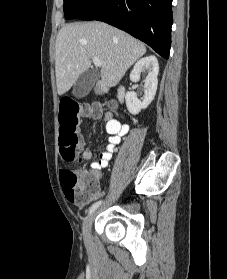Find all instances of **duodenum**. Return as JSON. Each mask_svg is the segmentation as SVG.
Returning a JSON list of instances; mask_svg holds the SVG:
<instances>
[{
  "mask_svg": "<svg viewBox=\"0 0 227 279\" xmlns=\"http://www.w3.org/2000/svg\"><path fill=\"white\" fill-rule=\"evenodd\" d=\"M106 91H107V90H106V88H104V87H102V88L99 89V93H100V94H104ZM124 94H125V89H124V87L121 86V85H119V86L117 87V95H118L119 99H123Z\"/></svg>",
  "mask_w": 227,
  "mask_h": 279,
  "instance_id": "410a0bca",
  "label": "duodenum"
}]
</instances>
